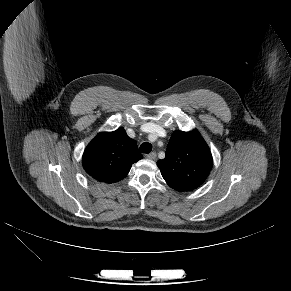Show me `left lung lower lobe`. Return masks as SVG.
<instances>
[{"mask_svg":"<svg viewBox=\"0 0 291 291\" xmlns=\"http://www.w3.org/2000/svg\"><path fill=\"white\" fill-rule=\"evenodd\" d=\"M175 190L180 191V192H181V191H184V190H181V189H175Z\"/></svg>","mask_w":291,"mask_h":291,"instance_id":"obj_1","label":"left lung lower lobe"}]
</instances>
